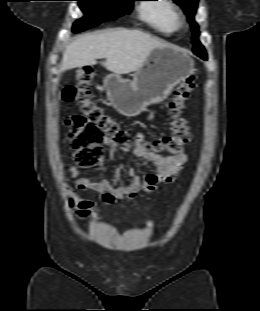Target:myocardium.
I'll list each match as a JSON object with an SVG mask.
<instances>
[{"label": "myocardium", "mask_w": 260, "mask_h": 311, "mask_svg": "<svg viewBox=\"0 0 260 311\" xmlns=\"http://www.w3.org/2000/svg\"><path fill=\"white\" fill-rule=\"evenodd\" d=\"M183 24H184L183 20L178 17L177 27H181V26H183Z\"/></svg>", "instance_id": "obj_1"}]
</instances>
